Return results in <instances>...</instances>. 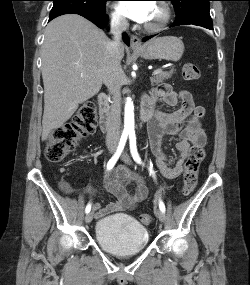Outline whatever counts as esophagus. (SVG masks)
<instances>
[{
	"instance_id": "esophagus-1",
	"label": "esophagus",
	"mask_w": 250,
	"mask_h": 285,
	"mask_svg": "<svg viewBox=\"0 0 250 285\" xmlns=\"http://www.w3.org/2000/svg\"><path fill=\"white\" fill-rule=\"evenodd\" d=\"M130 45H131V48L134 50L142 48V43H141L140 38L138 36H135V35L131 36Z\"/></svg>"
}]
</instances>
